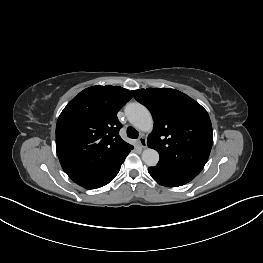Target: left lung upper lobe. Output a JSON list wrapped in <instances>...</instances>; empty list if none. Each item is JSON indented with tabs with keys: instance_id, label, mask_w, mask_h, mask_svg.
<instances>
[{
	"instance_id": "obj_1",
	"label": "left lung upper lobe",
	"mask_w": 263,
	"mask_h": 263,
	"mask_svg": "<svg viewBox=\"0 0 263 263\" xmlns=\"http://www.w3.org/2000/svg\"><path fill=\"white\" fill-rule=\"evenodd\" d=\"M132 93L152 113L154 128L147 145L158 151V166L197 176L206 164L213 144L207 111L175 89L148 88Z\"/></svg>"
}]
</instances>
